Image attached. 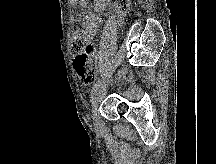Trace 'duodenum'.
<instances>
[{
  "mask_svg": "<svg viewBox=\"0 0 216 164\" xmlns=\"http://www.w3.org/2000/svg\"><path fill=\"white\" fill-rule=\"evenodd\" d=\"M107 0H95V7L96 9H102L105 7Z\"/></svg>",
  "mask_w": 216,
  "mask_h": 164,
  "instance_id": "duodenum-1",
  "label": "duodenum"
}]
</instances>
